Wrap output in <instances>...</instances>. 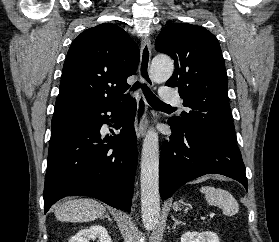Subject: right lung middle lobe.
Instances as JSON below:
<instances>
[{
  "instance_id": "right-lung-middle-lobe-1",
  "label": "right lung middle lobe",
  "mask_w": 279,
  "mask_h": 242,
  "mask_svg": "<svg viewBox=\"0 0 279 242\" xmlns=\"http://www.w3.org/2000/svg\"><path fill=\"white\" fill-rule=\"evenodd\" d=\"M78 114H70L60 117L52 118L51 132L63 127L64 125L71 123L76 119Z\"/></svg>"
}]
</instances>
